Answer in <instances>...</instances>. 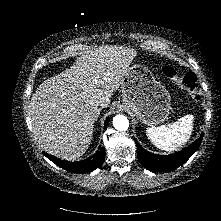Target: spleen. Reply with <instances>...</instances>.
Masks as SVG:
<instances>
[{"mask_svg": "<svg viewBox=\"0 0 221 221\" xmlns=\"http://www.w3.org/2000/svg\"><path fill=\"white\" fill-rule=\"evenodd\" d=\"M193 115H185L176 122L160 127H148L147 137L157 147L173 151L186 144L193 130Z\"/></svg>", "mask_w": 221, "mask_h": 221, "instance_id": "obj_1", "label": "spleen"}]
</instances>
